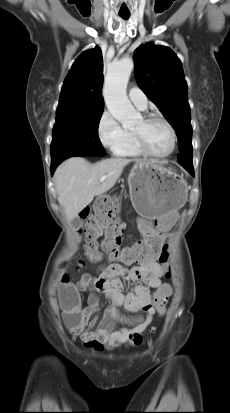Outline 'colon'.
<instances>
[{"label":"colon","mask_w":230,"mask_h":413,"mask_svg":"<svg viewBox=\"0 0 230 413\" xmlns=\"http://www.w3.org/2000/svg\"><path fill=\"white\" fill-rule=\"evenodd\" d=\"M111 201L115 205H119L121 203L120 194L118 192H99V200L96 202L92 212H90L92 208L88 204L80 209V216L84 221L82 233L84 235V247L87 257L93 262H98L102 259L104 252L109 258L120 259L125 263H143L150 260H158L164 267H160L159 271H164L165 276L170 277L171 257L161 231L148 235L136 245L121 249L124 224L118 219L117 209ZM103 231L105 232V237L99 247L96 239ZM79 300L80 297L71 292L62 301L64 308L75 315L76 322L80 318L78 313ZM154 302L158 313L163 314L167 298L164 295H156ZM141 342L142 337L140 336L134 339L133 344H140Z\"/></svg>","instance_id":"5ec220e1"}]
</instances>
